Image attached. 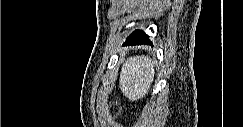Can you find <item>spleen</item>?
Segmentation results:
<instances>
[{
  "label": "spleen",
  "instance_id": "3e777b00",
  "mask_svg": "<svg viewBox=\"0 0 243 127\" xmlns=\"http://www.w3.org/2000/svg\"><path fill=\"white\" fill-rule=\"evenodd\" d=\"M154 61L148 56L131 57L120 74V89L131 101L143 98L154 80Z\"/></svg>",
  "mask_w": 243,
  "mask_h": 127
}]
</instances>
